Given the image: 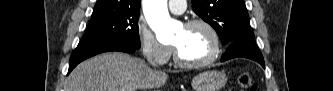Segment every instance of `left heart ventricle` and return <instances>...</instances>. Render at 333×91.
<instances>
[{
  "mask_svg": "<svg viewBox=\"0 0 333 91\" xmlns=\"http://www.w3.org/2000/svg\"><path fill=\"white\" fill-rule=\"evenodd\" d=\"M183 59L197 62L208 58L213 50V42L203 27H182L173 42Z\"/></svg>",
  "mask_w": 333,
  "mask_h": 91,
  "instance_id": "obj_1",
  "label": "left heart ventricle"
}]
</instances>
